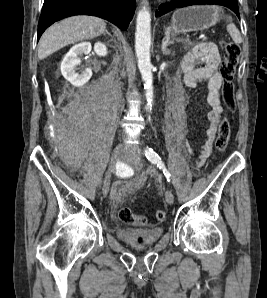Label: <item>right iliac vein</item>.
Returning <instances> with one entry per match:
<instances>
[{"label":"right iliac vein","instance_id":"obj_1","mask_svg":"<svg viewBox=\"0 0 267 298\" xmlns=\"http://www.w3.org/2000/svg\"><path fill=\"white\" fill-rule=\"evenodd\" d=\"M122 153V147L118 146L116 147L113 152H112V156H111V163H110V168L108 170V172L106 173L104 182H103V187H102V193L104 196H106L109 192V185H110V169L114 167V164L117 160H119L120 156Z\"/></svg>","mask_w":267,"mask_h":298}]
</instances>
